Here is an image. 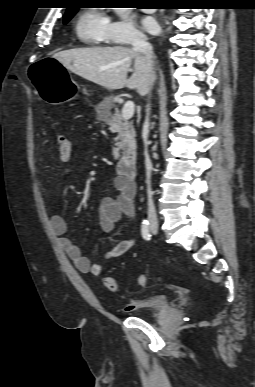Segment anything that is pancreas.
<instances>
[{
    "mask_svg": "<svg viewBox=\"0 0 255 387\" xmlns=\"http://www.w3.org/2000/svg\"><path fill=\"white\" fill-rule=\"evenodd\" d=\"M114 97L107 98L103 101L102 105L112 107L114 104ZM99 116L102 117L109 130L113 133H117V142L112 149V155L114 159L118 160L130 154L136 153V133L132 121H125L122 118L121 112L116 108L114 115H110L107 112L101 111Z\"/></svg>",
    "mask_w": 255,
    "mask_h": 387,
    "instance_id": "1",
    "label": "pancreas"
}]
</instances>
